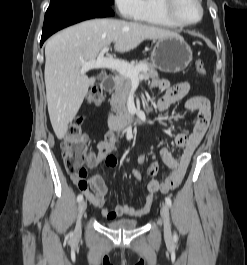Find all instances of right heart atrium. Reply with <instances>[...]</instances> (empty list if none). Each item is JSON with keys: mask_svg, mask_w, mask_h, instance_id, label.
Here are the masks:
<instances>
[{"mask_svg": "<svg viewBox=\"0 0 247 265\" xmlns=\"http://www.w3.org/2000/svg\"><path fill=\"white\" fill-rule=\"evenodd\" d=\"M119 13L127 18L134 19L140 10V0H114Z\"/></svg>", "mask_w": 247, "mask_h": 265, "instance_id": "obj_1", "label": "right heart atrium"}]
</instances>
